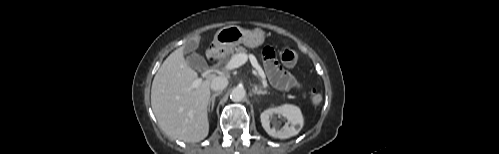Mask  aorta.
<instances>
[{"label": "aorta", "mask_w": 499, "mask_h": 154, "mask_svg": "<svg viewBox=\"0 0 499 154\" xmlns=\"http://www.w3.org/2000/svg\"><path fill=\"white\" fill-rule=\"evenodd\" d=\"M245 96H246V91L242 87H235L230 94L231 100L235 102L242 101L245 98Z\"/></svg>", "instance_id": "aorta-1"}]
</instances>
